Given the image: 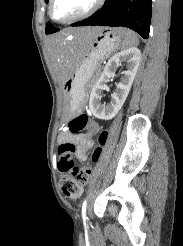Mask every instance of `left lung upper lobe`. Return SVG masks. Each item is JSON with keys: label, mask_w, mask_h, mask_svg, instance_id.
Returning <instances> with one entry per match:
<instances>
[{"label": "left lung upper lobe", "mask_w": 183, "mask_h": 246, "mask_svg": "<svg viewBox=\"0 0 183 246\" xmlns=\"http://www.w3.org/2000/svg\"><path fill=\"white\" fill-rule=\"evenodd\" d=\"M45 2L48 3V0H45ZM57 31H59V29L55 28L50 22L47 23L45 30L46 34L54 33Z\"/></svg>", "instance_id": "left-lung-upper-lobe-1"}]
</instances>
